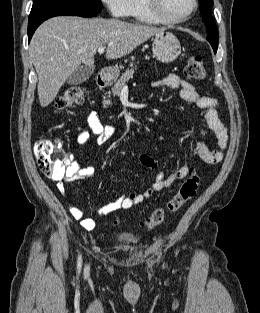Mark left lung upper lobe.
<instances>
[{
    "instance_id": "1",
    "label": "left lung upper lobe",
    "mask_w": 260,
    "mask_h": 313,
    "mask_svg": "<svg viewBox=\"0 0 260 313\" xmlns=\"http://www.w3.org/2000/svg\"><path fill=\"white\" fill-rule=\"evenodd\" d=\"M199 2L201 4L200 12L208 31L207 40L210 42L214 52L216 53L218 48V30L211 14L213 0H199Z\"/></svg>"
}]
</instances>
